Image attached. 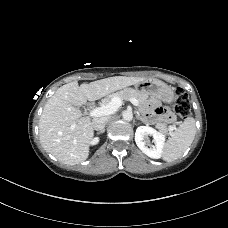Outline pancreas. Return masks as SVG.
I'll list each match as a JSON object with an SVG mask.
<instances>
[{
  "label": "pancreas",
  "instance_id": "1",
  "mask_svg": "<svg viewBox=\"0 0 228 228\" xmlns=\"http://www.w3.org/2000/svg\"><path fill=\"white\" fill-rule=\"evenodd\" d=\"M113 97H119L122 101H129L131 98H134L139 102V105H143L148 99L146 94L136 89L125 88L104 98L102 100L103 105L108 104ZM155 127L162 133H167L171 130V127H167V125L164 123H157Z\"/></svg>",
  "mask_w": 228,
  "mask_h": 228
}]
</instances>
